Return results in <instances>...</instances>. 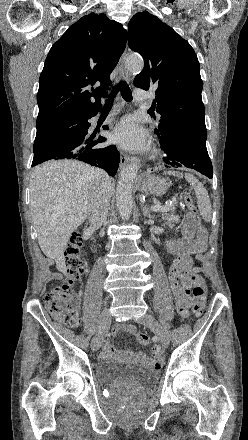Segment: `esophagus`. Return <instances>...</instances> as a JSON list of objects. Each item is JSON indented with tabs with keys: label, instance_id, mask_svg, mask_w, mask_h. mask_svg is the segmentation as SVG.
Wrapping results in <instances>:
<instances>
[{
	"label": "esophagus",
	"instance_id": "esophagus-1",
	"mask_svg": "<svg viewBox=\"0 0 248 440\" xmlns=\"http://www.w3.org/2000/svg\"><path fill=\"white\" fill-rule=\"evenodd\" d=\"M126 55H127V50L124 51V53L122 54V56L119 59L118 69H119L120 75L125 80L130 81V74L125 66ZM128 161H129V156L127 154H125L124 152H120V165H119L120 169H122L128 163Z\"/></svg>",
	"mask_w": 248,
	"mask_h": 440
}]
</instances>
